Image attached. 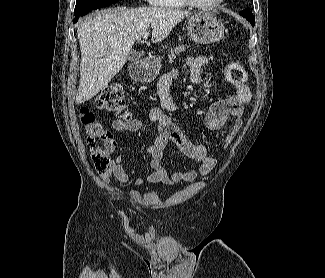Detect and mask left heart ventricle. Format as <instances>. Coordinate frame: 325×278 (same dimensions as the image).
<instances>
[{"label":"left heart ventricle","mask_w":325,"mask_h":278,"mask_svg":"<svg viewBox=\"0 0 325 278\" xmlns=\"http://www.w3.org/2000/svg\"><path fill=\"white\" fill-rule=\"evenodd\" d=\"M195 1L200 4H211V3L215 2L216 0H195Z\"/></svg>","instance_id":"left-heart-ventricle-1"}]
</instances>
